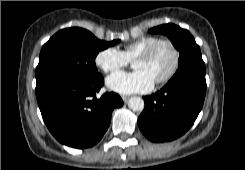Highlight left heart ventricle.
<instances>
[{
  "mask_svg": "<svg viewBox=\"0 0 245 170\" xmlns=\"http://www.w3.org/2000/svg\"><path fill=\"white\" fill-rule=\"evenodd\" d=\"M173 53L166 44L159 45L153 54L146 59H137L134 61L136 70L146 71L154 81L164 77L173 64Z\"/></svg>",
  "mask_w": 245,
  "mask_h": 170,
  "instance_id": "1",
  "label": "left heart ventricle"
}]
</instances>
